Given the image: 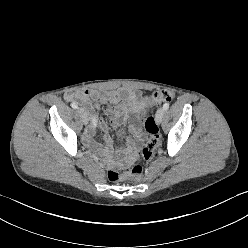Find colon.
Masks as SVG:
<instances>
[{
  "label": "colon",
  "mask_w": 248,
  "mask_h": 248,
  "mask_svg": "<svg viewBox=\"0 0 248 248\" xmlns=\"http://www.w3.org/2000/svg\"><path fill=\"white\" fill-rule=\"evenodd\" d=\"M174 100V93L169 90H158L155 91L151 97L145 100L146 105L152 106L154 104H160L162 102H171ZM144 116V126L148 133V140L146 144L141 149V157L143 160H149L155 151V149L160 144V132L159 126L152 115L147 112L143 114ZM143 168L140 164H137L131 168L130 171L126 173H119L115 170H110L107 174L109 181L111 182H134L141 178Z\"/></svg>",
  "instance_id": "1"
}]
</instances>
